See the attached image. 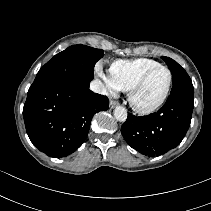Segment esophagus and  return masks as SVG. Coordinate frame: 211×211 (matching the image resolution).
<instances>
[{
    "instance_id": "obj_1",
    "label": "esophagus",
    "mask_w": 211,
    "mask_h": 211,
    "mask_svg": "<svg viewBox=\"0 0 211 211\" xmlns=\"http://www.w3.org/2000/svg\"><path fill=\"white\" fill-rule=\"evenodd\" d=\"M118 101H115V100H111L110 101V108H114V107H116V106H118Z\"/></svg>"
}]
</instances>
